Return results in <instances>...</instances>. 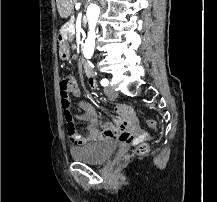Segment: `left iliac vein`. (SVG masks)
<instances>
[{"instance_id": "obj_1", "label": "left iliac vein", "mask_w": 217, "mask_h": 202, "mask_svg": "<svg viewBox=\"0 0 217 202\" xmlns=\"http://www.w3.org/2000/svg\"><path fill=\"white\" fill-rule=\"evenodd\" d=\"M105 93L107 94V96L109 98H116L117 97V93L115 92L113 87H110V86L106 87Z\"/></svg>"}]
</instances>
